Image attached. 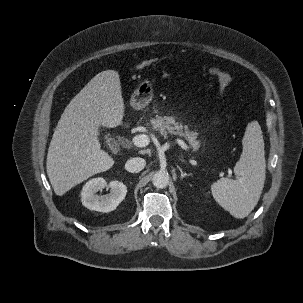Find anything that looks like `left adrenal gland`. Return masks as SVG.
I'll list each match as a JSON object with an SVG mask.
<instances>
[{"mask_svg": "<svg viewBox=\"0 0 303 303\" xmlns=\"http://www.w3.org/2000/svg\"><path fill=\"white\" fill-rule=\"evenodd\" d=\"M181 161L185 162L183 158H181ZM178 169H179V171L181 173V179H183L184 177H187V176L189 177L191 175L190 173L187 174L186 172H183V170L180 167H178Z\"/></svg>", "mask_w": 303, "mask_h": 303, "instance_id": "1", "label": "left adrenal gland"}]
</instances>
